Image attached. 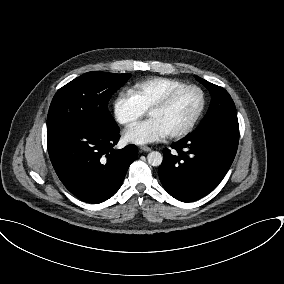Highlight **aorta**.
<instances>
[{
  "instance_id": "aorta-1",
  "label": "aorta",
  "mask_w": 284,
  "mask_h": 284,
  "mask_svg": "<svg viewBox=\"0 0 284 284\" xmlns=\"http://www.w3.org/2000/svg\"><path fill=\"white\" fill-rule=\"evenodd\" d=\"M148 163L152 166H160L163 160V156L158 151H152L147 156Z\"/></svg>"
}]
</instances>
